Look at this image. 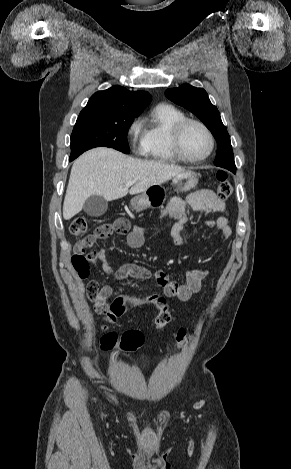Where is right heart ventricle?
Wrapping results in <instances>:
<instances>
[{
	"label": "right heart ventricle",
	"mask_w": 291,
	"mask_h": 469,
	"mask_svg": "<svg viewBox=\"0 0 291 469\" xmlns=\"http://www.w3.org/2000/svg\"><path fill=\"white\" fill-rule=\"evenodd\" d=\"M184 118L185 114L172 105H157L143 125L141 154L156 162H176L178 159L171 148L170 134L173 126Z\"/></svg>",
	"instance_id": "right-heart-ventricle-1"
}]
</instances>
